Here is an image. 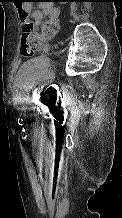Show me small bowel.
<instances>
[{"label":"small bowel","mask_w":122,"mask_h":218,"mask_svg":"<svg viewBox=\"0 0 122 218\" xmlns=\"http://www.w3.org/2000/svg\"><path fill=\"white\" fill-rule=\"evenodd\" d=\"M22 11H25L27 16L33 19L35 25H38L44 16H48L50 20H55L59 15V11L52 3V0H42L37 9H33L29 4L18 7L19 17L24 22Z\"/></svg>","instance_id":"c3829d8e"}]
</instances>
